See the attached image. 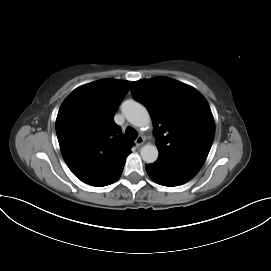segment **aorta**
<instances>
[{"instance_id":"762f6f07","label":"aorta","mask_w":271,"mask_h":271,"mask_svg":"<svg viewBox=\"0 0 271 271\" xmlns=\"http://www.w3.org/2000/svg\"><path fill=\"white\" fill-rule=\"evenodd\" d=\"M125 118L136 127H144L150 123L147 109L134 100H127L122 104ZM141 157L146 163H154L158 158V149L155 145L146 144L141 148Z\"/></svg>"}]
</instances>
